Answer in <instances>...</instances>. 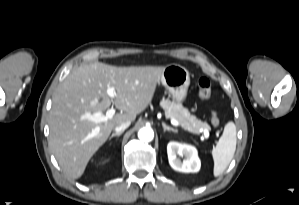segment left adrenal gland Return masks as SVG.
I'll use <instances>...</instances> for the list:
<instances>
[{"mask_svg": "<svg viewBox=\"0 0 299 205\" xmlns=\"http://www.w3.org/2000/svg\"><path fill=\"white\" fill-rule=\"evenodd\" d=\"M162 126H163L164 131H172L174 133H177L176 129L167 126L164 122L162 123Z\"/></svg>", "mask_w": 299, "mask_h": 205, "instance_id": "left-adrenal-gland-1", "label": "left adrenal gland"}]
</instances>
